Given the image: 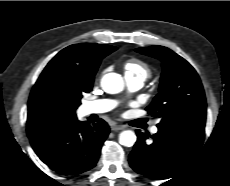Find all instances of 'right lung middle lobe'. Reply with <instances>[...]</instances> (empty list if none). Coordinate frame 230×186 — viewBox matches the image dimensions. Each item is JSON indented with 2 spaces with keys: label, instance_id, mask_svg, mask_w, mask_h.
Instances as JSON below:
<instances>
[{
  "label": "right lung middle lobe",
  "instance_id": "obj_1",
  "mask_svg": "<svg viewBox=\"0 0 230 186\" xmlns=\"http://www.w3.org/2000/svg\"><path fill=\"white\" fill-rule=\"evenodd\" d=\"M116 50V48L114 49ZM113 51V50H112ZM93 80L78 81L72 88V99L79 106L83 93H88L92 89Z\"/></svg>",
  "mask_w": 230,
  "mask_h": 186
}]
</instances>
